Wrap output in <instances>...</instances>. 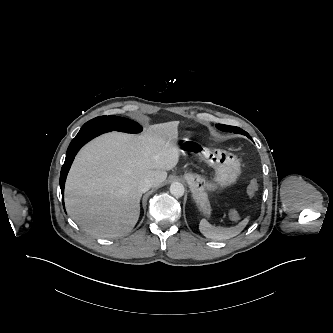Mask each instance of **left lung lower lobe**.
<instances>
[{"label":"left lung lower lobe","mask_w":333,"mask_h":333,"mask_svg":"<svg viewBox=\"0 0 333 333\" xmlns=\"http://www.w3.org/2000/svg\"><path fill=\"white\" fill-rule=\"evenodd\" d=\"M244 135H246L248 138H250V139H251V137L249 136V134H248V133H244Z\"/></svg>","instance_id":"left-lung-lower-lobe-1"}]
</instances>
